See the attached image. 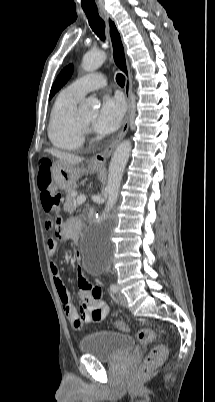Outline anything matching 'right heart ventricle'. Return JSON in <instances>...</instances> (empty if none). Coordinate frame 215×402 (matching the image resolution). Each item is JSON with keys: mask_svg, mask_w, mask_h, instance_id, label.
<instances>
[{"mask_svg": "<svg viewBox=\"0 0 215 402\" xmlns=\"http://www.w3.org/2000/svg\"><path fill=\"white\" fill-rule=\"evenodd\" d=\"M81 98L68 88L56 96L48 124V137L56 148L77 150L82 146L84 132L77 121V106Z\"/></svg>", "mask_w": 215, "mask_h": 402, "instance_id": "obj_1", "label": "right heart ventricle"}]
</instances>
